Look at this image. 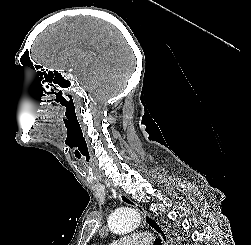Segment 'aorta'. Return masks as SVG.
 I'll use <instances>...</instances> for the list:
<instances>
[{
  "label": "aorta",
  "mask_w": 251,
  "mask_h": 245,
  "mask_svg": "<svg viewBox=\"0 0 251 245\" xmlns=\"http://www.w3.org/2000/svg\"><path fill=\"white\" fill-rule=\"evenodd\" d=\"M110 230L115 234H127L139 226V214L133 208H119L108 219Z\"/></svg>",
  "instance_id": "762f6f07"
}]
</instances>
